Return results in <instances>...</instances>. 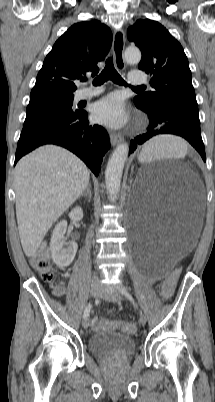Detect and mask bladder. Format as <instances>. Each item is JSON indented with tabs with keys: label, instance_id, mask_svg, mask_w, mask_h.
I'll use <instances>...</instances> for the list:
<instances>
[{
	"label": "bladder",
	"instance_id": "obj_1",
	"mask_svg": "<svg viewBox=\"0 0 215 402\" xmlns=\"http://www.w3.org/2000/svg\"><path fill=\"white\" fill-rule=\"evenodd\" d=\"M88 347L95 356L124 359L134 353L136 344L129 335L103 330L94 333L89 338Z\"/></svg>",
	"mask_w": 215,
	"mask_h": 402
}]
</instances>
